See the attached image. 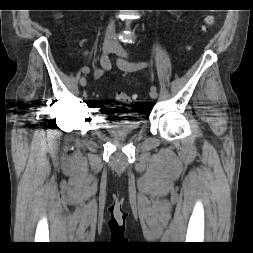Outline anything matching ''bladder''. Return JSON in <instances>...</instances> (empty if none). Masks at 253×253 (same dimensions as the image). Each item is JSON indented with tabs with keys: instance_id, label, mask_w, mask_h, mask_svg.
<instances>
[{
	"instance_id": "1",
	"label": "bladder",
	"mask_w": 253,
	"mask_h": 253,
	"mask_svg": "<svg viewBox=\"0 0 253 253\" xmlns=\"http://www.w3.org/2000/svg\"><path fill=\"white\" fill-rule=\"evenodd\" d=\"M107 111H112V113L108 114L109 117L113 116V109L108 108ZM117 119L113 120H104L100 123L99 127L101 129H105L108 131H112L115 133H131L138 130L141 127V120L139 118H135L132 115H127L122 112H115Z\"/></svg>"
}]
</instances>
